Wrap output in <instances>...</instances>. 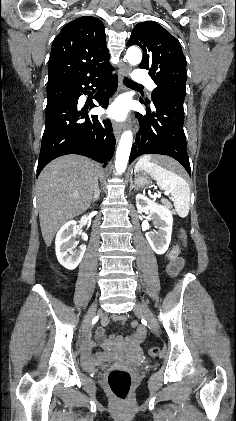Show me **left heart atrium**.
Returning <instances> with one entry per match:
<instances>
[{"label":"left heart atrium","mask_w":236,"mask_h":421,"mask_svg":"<svg viewBox=\"0 0 236 421\" xmlns=\"http://www.w3.org/2000/svg\"><path fill=\"white\" fill-rule=\"evenodd\" d=\"M106 113L116 121H123L127 116V106L122 102H115Z\"/></svg>","instance_id":"obj_1"}]
</instances>
